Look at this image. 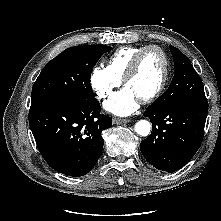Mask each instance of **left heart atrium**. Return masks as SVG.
Listing matches in <instances>:
<instances>
[{"mask_svg":"<svg viewBox=\"0 0 221 221\" xmlns=\"http://www.w3.org/2000/svg\"><path fill=\"white\" fill-rule=\"evenodd\" d=\"M138 101L136 95L125 86L104 103V108L113 114L126 116L137 109Z\"/></svg>","mask_w":221,"mask_h":221,"instance_id":"39dd6f15","label":"left heart atrium"}]
</instances>
